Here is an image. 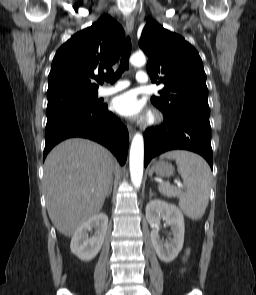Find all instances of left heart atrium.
<instances>
[{
    "mask_svg": "<svg viewBox=\"0 0 256 295\" xmlns=\"http://www.w3.org/2000/svg\"><path fill=\"white\" fill-rule=\"evenodd\" d=\"M113 107L126 118H138L144 110V102L135 91H127L115 98Z\"/></svg>",
    "mask_w": 256,
    "mask_h": 295,
    "instance_id": "obj_1",
    "label": "left heart atrium"
}]
</instances>
